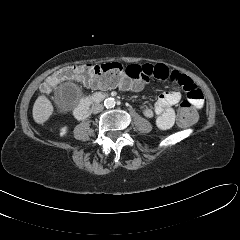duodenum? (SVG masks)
<instances>
[{"label": "duodenum", "mask_w": 240, "mask_h": 240, "mask_svg": "<svg viewBox=\"0 0 240 240\" xmlns=\"http://www.w3.org/2000/svg\"><path fill=\"white\" fill-rule=\"evenodd\" d=\"M106 98V94L104 93H96L90 99L81 102L74 110V115L77 119H85L89 113L91 106L94 103H98Z\"/></svg>", "instance_id": "1"}]
</instances>
